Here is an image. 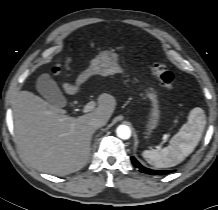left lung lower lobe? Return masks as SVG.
<instances>
[{
	"instance_id": "0a47b994",
	"label": "left lung lower lobe",
	"mask_w": 218,
	"mask_h": 210,
	"mask_svg": "<svg viewBox=\"0 0 218 210\" xmlns=\"http://www.w3.org/2000/svg\"><path fill=\"white\" fill-rule=\"evenodd\" d=\"M131 161L133 165L139 168L142 173L151 174V175H165V174L172 172L168 170H152V169L146 168L142 166L134 157H131Z\"/></svg>"
}]
</instances>
